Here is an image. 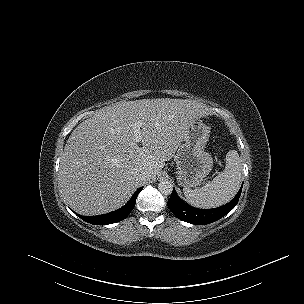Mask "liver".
Returning <instances> with one entry per match:
<instances>
[{
    "instance_id": "1",
    "label": "liver",
    "mask_w": 304,
    "mask_h": 304,
    "mask_svg": "<svg viewBox=\"0 0 304 304\" xmlns=\"http://www.w3.org/2000/svg\"><path fill=\"white\" fill-rule=\"evenodd\" d=\"M205 115L206 106L189 99L120 101L100 109L73 130L64 147L59 184L67 203L86 216L119 209L144 182L137 171H147V180L156 177L189 126ZM136 122L142 123L141 147Z\"/></svg>"
}]
</instances>
